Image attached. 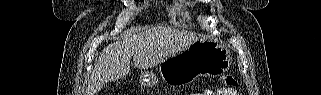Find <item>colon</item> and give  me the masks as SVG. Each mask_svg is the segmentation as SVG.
I'll return each instance as SVG.
<instances>
[{
  "label": "colon",
  "mask_w": 321,
  "mask_h": 95,
  "mask_svg": "<svg viewBox=\"0 0 321 95\" xmlns=\"http://www.w3.org/2000/svg\"><path fill=\"white\" fill-rule=\"evenodd\" d=\"M221 81L227 87H235L237 85V80L232 75H223Z\"/></svg>",
  "instance_id": "5ec220e1"
}]
</instances>
